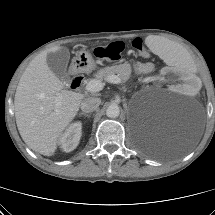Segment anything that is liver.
<instances>
[{"label":"liver","instance_id":"obj_1","mask_svg":"<svg viewBox=\"0 0 215 215\" xmlns=\"http://www.w3.org/2000/svg\"><path fill=\"white\" fill-rule=\"evenodd\" d=\"M60 48H48L29 63L14 98L16 124L23 141L45 156L54 154L63 131L76 116L85 97L63 90L64 84L48 67L47 54Z\"/></svg>","mask_w":215,"mask_h":215}]
</instances>
